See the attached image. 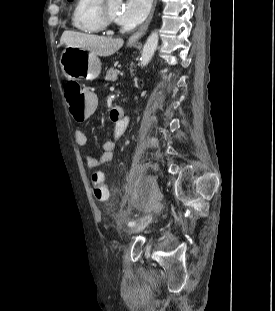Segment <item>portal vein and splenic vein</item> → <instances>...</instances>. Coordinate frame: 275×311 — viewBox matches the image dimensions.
<instances>
[{
	"mask_svg": "<svg viewBox=\"0 0 275 311\" xmlns=\"http://www.w3.org/2000/svg\"><path fill=\"white\" fill-rule=\"evenodd\" d=\"M124 75V73L123 72H120V76H123Z\"/></svg>",
	"mask_w": 275,
	"mask_h": 311,
	"instance_id": "18ae733b",
	"label": "portal vein and splenic vein"
}]
</instances>
